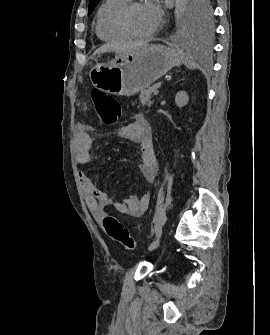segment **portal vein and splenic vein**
<instances>
[{
	"label": "portal vein and splenic vein",
	"instance_id": "obj_1",
	"mask_svg": "<svg viewBox=\"0 0 270 335\" xmlns=\"http://www.w3.org/2000/svg\"><path fill=\"white\" fill-rule=\"evenodd\" d=\"M155 93L153 94L154 96H156V97H158L160 94H159V90L158 89H156L155 91H154Z\"/></svg>",
	"mask_w": 270,
	"mask_h": 335
}]
</instances>
